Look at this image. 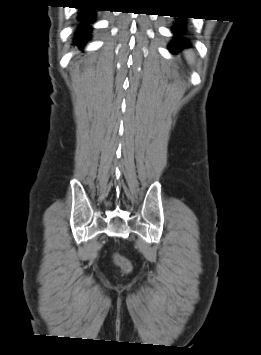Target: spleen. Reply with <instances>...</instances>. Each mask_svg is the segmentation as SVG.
<instances>
[{"instance_id":"1","label":"spleen","mask_w":261,"mask_h":355,"mask_svg":"<svg viewBox=\"0 0 261 355\" xmlns=\"http://www.w3.org/2000/svg\"><path fill=\"white\" fill-rule=\"evenodd\" d=\"M186 59L190 64L193 63V52L192 51H186L185 52Z\"/></svg>"}]
</instances>
